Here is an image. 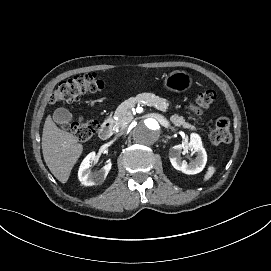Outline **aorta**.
<instances>
[{
    "label": "aorta",
    "mask_w": 271,
    "mask_h": 271,
    "mask_svg": "<svg viewBox=\"0 0 271 271\" xmlns=\"http://www.w3.org/2000/svg\"><path fill=\"white\" fill-rule=\"evenodd\" d=\"M161 129L157 120L147 118L139 121L132 130V138L140 145H153L160 137Z\"/></svg>",
    "instance_id": "762f6f07"
}]
</instances>
